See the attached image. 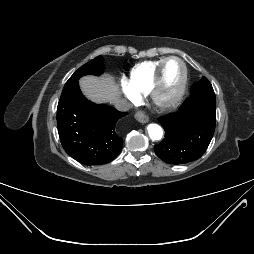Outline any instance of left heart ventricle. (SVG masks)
I'll return each instance as SVG.
<instances>
[{
	"instance_id": "obj_1",
	"label": "left heart ventricle",
	"mask_w": 254,
	"mask_h": 254,
	"mask_svg": "<svg viewBox=\"0 0 254 254\" xmlns=\"http://www.w3.org/2000/svg\"><path fill=\"white\" fill-rule=\"evenodd\" d=\"M182 78V66L178 61H169L163 71L161 99H169L177 91Z\"/></svg>"
}]
</instances>
